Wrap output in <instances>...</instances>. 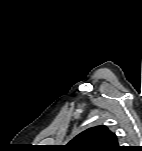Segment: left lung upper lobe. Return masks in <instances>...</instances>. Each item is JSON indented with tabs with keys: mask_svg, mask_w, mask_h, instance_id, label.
Wrapping results in <instances>:
<instances>
[{
	"mask_svg": "<svg viewBox=\"0 0 142 151\" xmlns=\"http://www.w3.org/2000/svg\"><path fill=\"white\" fill-rule=\"evenodd\" d=\"M66 147L73 151H117L121 149L117 137L102 125L78 134Z\"/></svg>",
	"mask_w": 142,
	"mask_h": 151,
	"instance_id": "left-lung-upper-lobe-1",
	"label": "left lung upper lobe"
}]
</instances>
